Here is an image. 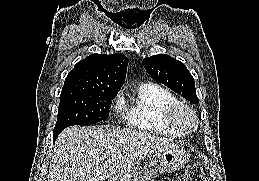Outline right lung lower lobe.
Here are the masks:
<instances>
[{
	"label": "right lung lower lobe",
	"instance_id": "1",
	"mask_svg": "<svg viewBox=\"0 0 259 181\" xmlns=\"http://www.w3.org/2000/svg\"><path fill=\"white\" fill-rule=\"evenodd\" d=\"M58 136V135H57ZM57 136L53 137V141H55V139L57 138Z\"/></svg>",
	"mask_w": 259,
	"mask_h": 181
}]
</instances>
